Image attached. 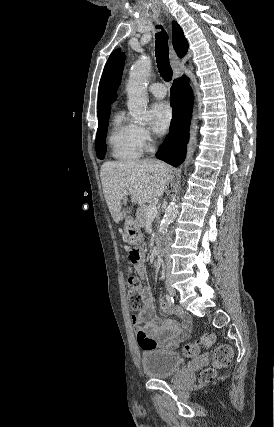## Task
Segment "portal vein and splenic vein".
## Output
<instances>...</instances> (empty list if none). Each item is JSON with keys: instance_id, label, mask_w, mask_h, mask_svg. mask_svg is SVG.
I'll use <instances>...</instances> for the list:
<instances>
[{"instance_id": "obj_1", "label": "portal vein and splenic vein", "mask_w": 274, "mask_h": 427, "mask_svg": "<svg viewBox=\"0 0 274 427\" xmlns=\"http://www.w3.org/2000/svg\"><path fill=\"white\" fill-rule=\"evenodd\" d=\"M124 196H129V192H124ZM157 214L156 204H150L146 210L147 219H152V217H156Z\"/></svg>"}]
</instances>
